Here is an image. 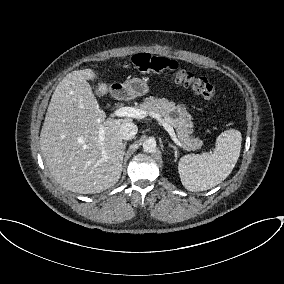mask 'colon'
Listing matches in <instances>:
<instances>
[{"label":"colon","instance_id":"obj_1","mask_svg":"<svg viewBox=\"0 0 284 284\" xmlns=\"http://www.w3.org/2000/svg\"><path fill=\"white\" fill-rule=\"evenodd\" d=\"M132 63L139 72L145 74L170 72L177 83L191 87L196 94L208 101H213L216 97L214 86L205 77H196L193 73L180 69L174 60L148 53H139L132 57Z\"/></svg>","mask_w":284,"mask_h":284}]
</instances>
